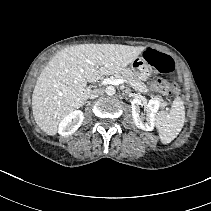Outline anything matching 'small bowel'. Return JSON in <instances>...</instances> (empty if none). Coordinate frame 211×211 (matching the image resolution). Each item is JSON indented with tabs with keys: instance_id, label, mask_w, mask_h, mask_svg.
I'll list each match as a JSON object with an SVG mask.
<instances>
[{
	"instance_id": "obj_1",
	"label": "small bowel",
	"mask_w": 211,
	"mask_h": 211,
	"mask_svg": "<svg viewBox=\"0 0 211 211\" xmlns=\"http://www.w3.org/2000/svg\"><path fill=\"white\" fill-rule=\"evenodd\" d=\"M156 85H157V80L154 83H152V85H151V87H152L153 90H155Z\"/></svg>"
}]
</instances>
